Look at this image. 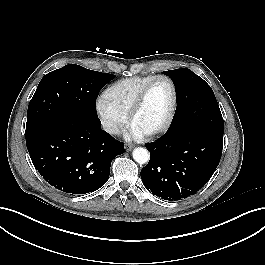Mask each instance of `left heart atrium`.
Segmentation results:
<instances>
[{"mask_svg": "<svg viewBox=\"0 0 265 265\" xmlns=\"http://www.w3.org/2000/svg\"><path fill=\"white\" fill-rule=\"evenodd\" d=\"M144 134L139 131L137 128L131 125L129 132H128V137L130 138H141Z\"/></svg>", "mask_w": 265, "mask_h": 265, "instance_id": "1", "label": "left heart atrium"}]
</instances>
